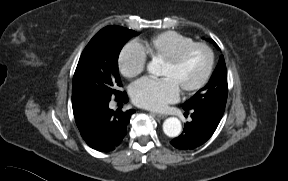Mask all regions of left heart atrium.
I'll return each instance as SVG.
<instances>
[{
	"mask_svg": "<svg viewBox=\"0 0 288 181\" xmlns=\"http://www.w3.org/2000/svg\"><path fill=\"white\" fill-rule=\"evenodd\" d=\"M131 96L136 105L160 111L177 100L179 90L169 78H144L132 86Z\"/></svg>",
	"mask_w": 288,
	"mask_h": 181,
	"instance_id": "left-heart-atrium-1",
	"label": "left heart atrium"
}]
</instances>
